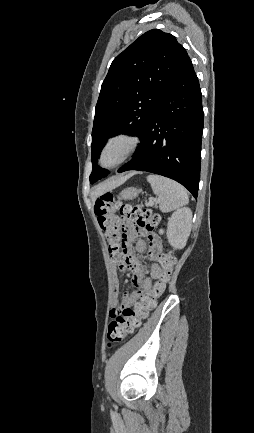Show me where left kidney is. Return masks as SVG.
<instances>
[{"mask_svg":"<svg viewBox=\"0 0 254 433\" xmlns=\"http://www.w3.org/2000/svg\"><path fill=\"white\" fill-rule=\"evenodd\" d=\"M192 211L190 208L176 210L168 220L167 239L169 244L177 249L185 247L191 232Z\"/></svg>","mask_w":254,"mask_h":433,"instance_id":"obj_1","label":"left kidney"}]
</instances>
